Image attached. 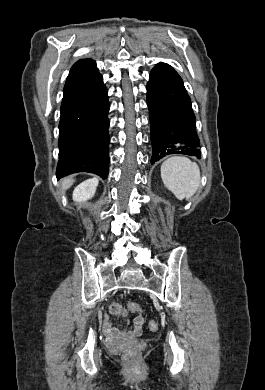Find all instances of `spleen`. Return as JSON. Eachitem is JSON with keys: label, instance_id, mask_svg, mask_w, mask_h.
Here are the masks:
<instances>
[{"label": "spleen", "instance_id": "1", "mask_svg": "<svg viewBox=\"0 0 265 390\" xmlns=\"http://www.w3.org/2000/svg\"><path fill=\"white\" fill-rule=\"evenodd\" d=\"M161 178L177 199H189L200 185V169L186 157L173 156L161 165Z\"/></svg>", "mask_w": 265, "mask_h": 390}]
</instances>
